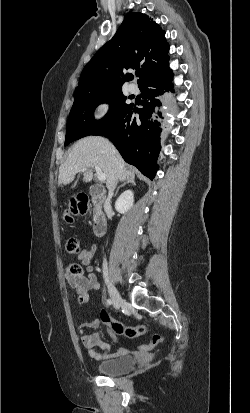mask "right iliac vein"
I'll return each mask as SVG.
<instances>
[{
  "label": "right iliac vein",
  "instance_id": "63e3f726",
  "mask_svg": "<svg viewBox=\"0 0 250 413\" xmlns=\"http://www.w3.org/2000/svg\"><path fill=\"white\" fill-rule=\"evenodd\" d=\"M106 284H107L108 291H109L110 297L112 299V302L115 308L119 309L124 304V300L121 298L116 287L113 285V283L109 279H106Z\"/></svg>",
  "mask_w": 250,
  "mask_h": 413
}]
</instances>
